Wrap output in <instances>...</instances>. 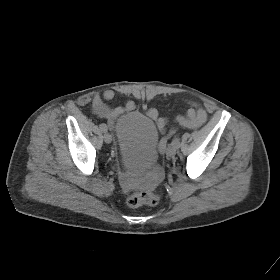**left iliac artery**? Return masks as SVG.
I'll use <instances>...</instances> for the list:
<instances>
[{"mask_svg":"<svg viewBox=\"0 0 280 280\" xmlns=\"http://www.w3.org/2000/svg\"><path fill=\"white\" fill-rule=\"evenodd\" d=\"M171 145H172L173 147H175L176 149H178V148L180 147V142H179L178 137H175V138L173 139Z\"/></svg>","mask_w":280,"mask_h":280,"instance_id":"1","label":"left iliac artery"}]
</instances>
